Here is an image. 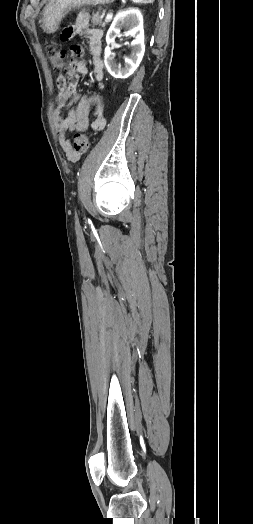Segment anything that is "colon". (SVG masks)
I'll return each instance as SVG.
<instances>
[{
  "label": "colon",
  "mask_w": 253,
  "mask_h": 524,
  "mask_svg": "<svg viewBox=\"0 0 253 524\" xmlns=\"http://www.w3.org/2000/svg\"><path fill=\"white\" fill-rule=\"evenodd\" d=\"M76 48V46H75ZM75 49H72L74 51ZM47 54L50 60L52 69L60 72L66 62L65 52L57 46V44L50 42L47 44ZM89 138L83 133H76L72 139L71 152L69 158L76 160L85 155L89 149Z\"/></svg>",
  "instance_id": "obj_1"
}]
</instances>
